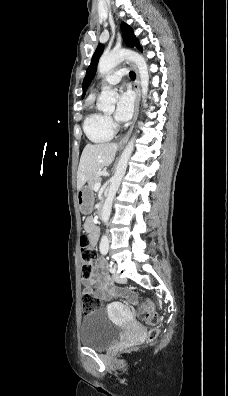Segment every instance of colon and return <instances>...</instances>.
I'll list each match as a JSON object with an SVG mask.
<instances>
[{
	"label": "colon",
	"instance_id": "5ec220e1",
	"mask_svg": "<svg viewBox=\"0 0 228 396\" xmlns=\"http://www.w3.org/2000/svg\"><path fill=\"white\" fill-rule=\"evenodd\" d=\"M80 252L82 257V274L83 277L89 279L92 269L96 262L95 255L89 246V239L86 234L80 237ZM101 307V301L91 293H84L82 297V309L85 313L92 312ZM140 313L144 316V321L149 327L146 335L147 341H153L158 333L160 326L159 314L154 310L151 302H142L139 306Z\"/></svg>",
	"mask_w": 228,
	"mask_h": 396
}]
</instances>
